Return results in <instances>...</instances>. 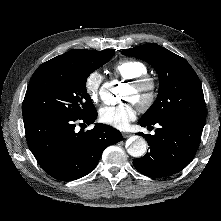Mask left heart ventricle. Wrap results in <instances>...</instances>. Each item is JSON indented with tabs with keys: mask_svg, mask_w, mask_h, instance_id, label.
I'll return each instance as SVG.
<instances>
[{
	"mask_svg": "<svg viewBox=\"0 0 221 221\" xmlns=\"http://www.w3.org/2000/svg\"><path fill=\"white\" fill-rule=\"evenodd\" d=\"M123 97L125 99L137 102L138 98H139V93L138 91L133 88L131 85H127L123 94Z\"/></svg>",
	"mask_w": 221,
	"mask_h": 221,
	"instance_id": "left-heart-ventricle-1",
	"label": "left heart ventricle"
}]
</instances>
